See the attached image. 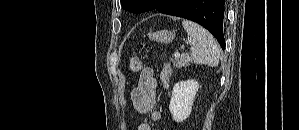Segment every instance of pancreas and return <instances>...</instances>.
Instances as JSON below:
<instances>
[{"mask_svg":"<svg viewBox=\"0 0 299 130\" xmlns=\"http://www.w3.org/2000/svg\"><path fill=\"white\" fill-rule=\"evenodd\" d=\"M191 60L188 55L174 56L172 63L175 67H186L190 64Z\"/></svg>","mask_w":299,"mask_h":130,"instance_id":"1","label":"pancreas"}]
</instances>
